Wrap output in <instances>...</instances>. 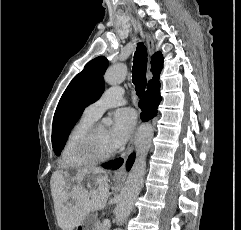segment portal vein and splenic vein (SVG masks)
Here are the masks:
<instances>
[{"label":"portal vein and splenic vein","mask_w":241,"mask_h":230,"mask_svg":"<svg viewBox=\"0 0 241 230\" xmlns=\"http://www.w3.org/2000/svg\"><path fill=\"white\" fill-rule=\"evenodd\" d=\"M104 225L109 227L110 226V220H108V219L104 220Z\"/></svg>","instance_id":"18ae733b"}]
</instances>
